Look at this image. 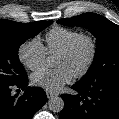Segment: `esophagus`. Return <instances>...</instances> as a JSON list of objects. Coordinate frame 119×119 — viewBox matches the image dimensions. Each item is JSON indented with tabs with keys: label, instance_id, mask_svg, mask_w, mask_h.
Here are the masks:
<instances>
[{
	"label": "esophagus",
	"instance_id": "34e87169",
	"mask_svg": "<svg viewBox=\"0 0 119 119\" xmlns=\"http://www.w3.org/2000/svg\"><path fill=\"white\" fill-rule=\"evenodd\" d=\"M46 95H47V98H53L55 97L57 94L53 93V92H50V91H46Z\"/></svg>",
	"mask_w": 119,
	"mask_h": 119
}]
</instances>
